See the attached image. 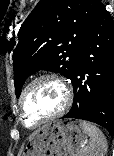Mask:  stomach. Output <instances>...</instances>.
Returning <instances> with one entry per match:
<instances>
[{
  "mask_svg": "<svg viewBox=\"0 0 114 156\" xmlns=\"http://www.w3.org/2000/svg\"><path fill=\"white\" fill-rule=\"evenodd\" d=\"M85 142L79 120L57 121L35 131L22 156H79Z\"/></svg>",
  "mask_w": 114,
  "mask_h": 156,
  "instance_id": "stomach-1",
  "label": "stomach"
}]
</instances>
